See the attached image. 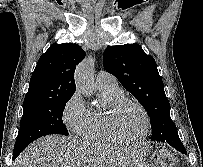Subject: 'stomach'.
<instances>
[{"instance_id": "stomach-1", "label": "stomach", "mask_w": 203, "mask_h": 167, "mask_svg": "<svg viewBox=\"0 0 203 167\" xmlns=\"http://www.w3.org/2000/svg\"><path fill=\"white\" fill-rule=\"evenodd\" d=\"M134 167H152V166H150L149 164H146L144 162H140V163L136 164Z\"/></svg>"}]
</instances>
